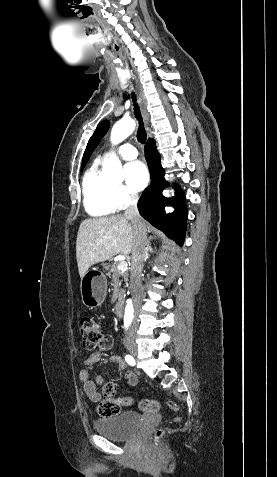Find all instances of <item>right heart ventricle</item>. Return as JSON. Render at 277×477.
<instances>
[{"mask_svg": "<svg viewBox=\"0 0 277 477\" xmlns=\"http://www.w3.org/2000/svg\"><path fill=\"white\" fill-rule=\"evenodd\" d=\"M100 163V160L94 161L82 179L83 206L93 217H106L117 210L113 197L115 186L102 174Z\"/></svg>", "mask_w": 277, "mask_h": 477, "instance_id": "right-heart-ventricle-1", "label": "right heart ventricle"}]
</instances>
